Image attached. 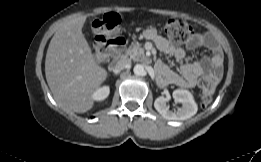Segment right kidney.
I'll return each mask as SVG.
<instances>
[{
  "instance_id": "obj_1",
  "label": "right kidney",
  "mask_w": 261,
  "mask_h": 162,
  "mask_svg": "<svg viewBox=\"0 0 261 162\" xmlns=\"http://www.w3.org/2000/svg\"><path fill=\"white\" fill-rule=\"evenodd\" d=\"M110 93V88L109 86H103L99 89H97L93 94L92 98L95 101H103L105 100Z\"/></svg>"
}]
</instances>
